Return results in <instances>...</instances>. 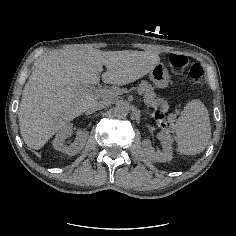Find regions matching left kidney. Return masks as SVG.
<instances>
[{"label": "left kidney", "instance_id": "obj_1", "mask_svg": "<svg viewBox=\"0 0 236 236\" xmlns=\"http://www.w3.org/2000/svg\"><path fill=\"white\" fill-rule=\"evenodd\" d=\"M157 138L161 141L163 150L152 151L149 146V142L143 141L142 148L146 154L148 160L152 162H168L172 160V147L169 138L164 133H158Z\"/></svg>", "mask_w": 236, "mask_h": 236}]
</instances>
